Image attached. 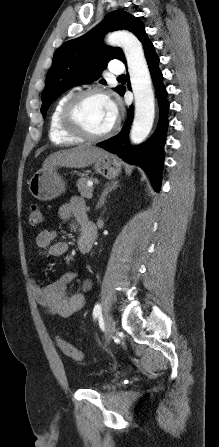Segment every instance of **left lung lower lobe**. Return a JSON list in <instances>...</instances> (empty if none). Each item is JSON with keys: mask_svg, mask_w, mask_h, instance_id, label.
<instances>
[{"mask_svg": "<svg viewBox=\"0 0 219 447\" xmlns=\"http://www.w3.org/2000/svg\"><path fill=\"white\" fill-rule=\"evenodd\" d=\"M145 57L152 75L156 95L159 103V125L154 135L146 143L133 147L129 144L128 133L133 120V107L128 112L126 123L121 132L103 142L97 144L111 153L118 154L123 160L130 164L141 166L150 177L153 187L156 191L160 190V173L164 159V143L166 129L168 126L167 111L169 104L166 101L167 92L163 85V76L158 68L159 57L156 55L153 44L146 36L142 41ZM125 88L120 95H124Z\"/></svg>", "mask_w": 219, "mask_h": 447, "instance_id": "0a47b994", "label": "left lung lower lobe"}]
</instances>
